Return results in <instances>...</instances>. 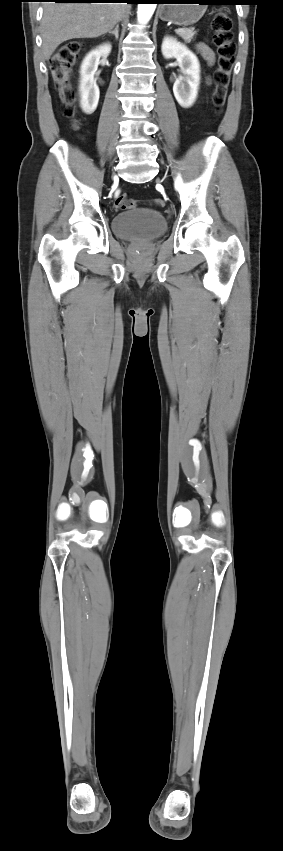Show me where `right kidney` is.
Listing matches in <instances>:
<instances>
[{
    "mask_svg": "<svg viewBox=\"0 0 283 851\" xmlns=\"http://www.w3.org/2000/svg\"><path fill=\"white\" fill-rule=\"evenodd\" d=\"M111 52V44L105 43L90 51L84 58L80 68V106L84 113L92 114L98 105L99 87L94 80L101 57H106Z\"/></svg>",
    "mask_w": 283,
    "mask_h": 851,
    "instance_id": "ca27d5eb",
    "label": "right kidney"
}]
</instances>
